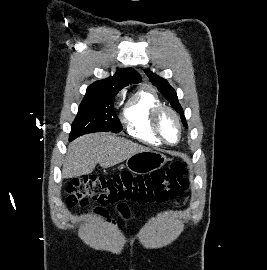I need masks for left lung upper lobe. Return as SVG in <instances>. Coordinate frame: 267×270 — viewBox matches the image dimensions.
<instances>
[{"label":"left lung upper lobe","instance_id":"left-lung-upper-lobe-1","mask_svg":"<svg viewBox=\"0 0 267 270\" xmlns=\"http://www.w3.org/2000/svg\"><path fill=\"white\" fill-rule=\"evenodd\" d=\"M145 73L147 74V76L149 77V79L151 80V82L157 86L158 90L162 93V95L170 102V104L172 105V107L180 114H182L181 119H182V123L184 124V126H187L185 117H184V111L181 108L179 102H178V98H177V94L175 92V90L169 85V83L164 80L163 78L155 75L154 73H152L150 70H145Z\"/></svg>","mask_w":267,"mask_h":270}]
</instances>
